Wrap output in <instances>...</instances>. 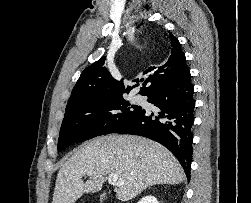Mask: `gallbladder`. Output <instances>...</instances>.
Wrapping results in <instances>:
<instances>
[{
  "label": "gallbladder",
  "instance_id": "gallbladder-1",
  "mask_svg": "<svg viewBox=\"0 0 251 203\" xmlns=\"http://www.w3.org/2000/svg\"><path fill=\"white\" fill-rule=\"evenodd\" d=\"M107 198L106 193L100 195V202L104 201Z\"/></svg>",
  "mask_w": 251,
  "mask_h": 203
}]
</instances>
